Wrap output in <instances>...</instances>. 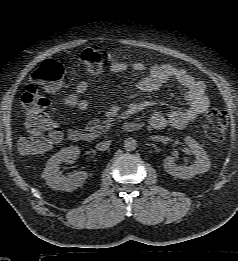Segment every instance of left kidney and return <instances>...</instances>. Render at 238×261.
<instances>
[{
    "mask_svg": "<svg viewBox=\"0 0 238 261\" xmlns=\"http://www.w3.org/2000/svg\"><path fill=\"white\" fill-rule=\"evenodd\" d=\"M185 143L195 155V161L192 165L188 167L177 166L175 164V158L171 156L164 159L165 171L175 178L190 179L197 174L207 172L211 166L206 152L195 139L186 137Z\"/></svg>",
    "mask_w": 238,
    "mask_h": 261,
    "instance_id": "obj_1",
    "label": "left kidney"
}]
</instances>
